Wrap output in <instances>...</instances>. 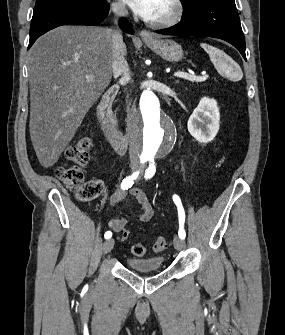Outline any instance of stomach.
<instances>
[{
	"label": "stomach",
	"instance_id": "1",
	"mask_svg": "<svg viewBox=\"0 0 285 335\" xmlns=\"http://www.w3.org/2000/svg\"><path fill=\"white\" fill-rule=\"evenodd\" d=\"M145 44L152 52H155L167 62H180L183 58L181 46L173 40H153V42H145Z\"/></svg>",
	"mask_w": 285,
	"mask_h": 335
}]
</instances>
